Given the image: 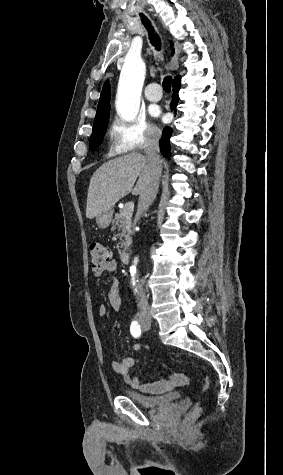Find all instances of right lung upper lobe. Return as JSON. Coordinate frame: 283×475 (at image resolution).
I'll list each match as a JSON object with an SVG mask.
<instances>
[{
	"label": "right lung upper lobe",
	"mask_w": 283,
	"mask_h": 475,
	"mask_svg": "<svg viewBox=\"0 0 283 475\" xmlns=\"http://www.w3.org/2000/svg\"><path fill=\"white\" fill-rule=\"evenodd\" d=\"M172 45H173V43H171V46ZM109 102H110V83H109V81H106L104 83V86H103V89H102V92H101L98 107L103 106V105H110Z\"/></svg>",
	"instance_id": "1"
}]
</instances>
